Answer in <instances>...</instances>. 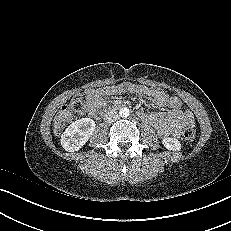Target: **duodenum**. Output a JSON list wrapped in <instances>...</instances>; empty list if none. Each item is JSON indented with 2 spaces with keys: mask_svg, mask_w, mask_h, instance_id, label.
I'll use <instances>...</instances> for the list:
<instances>
[{
  "mask_svg": "<svg viewBox=\"0 0 231 231\" xmlns=\"http://www.w3.org/2000/svg\"><path fill=\"white\" fill-rule=\"evenodd\" d=\"M116 105H117L118 107H120L122 104H121V103H117ZM109 111H111V109H107V110H106V112H109Z\"/></svg>",
  "mask_w": 231,
  "mask_h": 231,
  "instance_id": "410a0bca",
  "label": "duodenum"
}]
</instances>
